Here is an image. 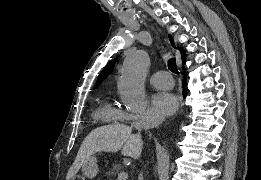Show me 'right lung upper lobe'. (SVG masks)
Masks as SVG:
<instances>
[{
  "label": "right lung upper lobe",
  "instance_id": "1",
  "mask_svg": "<svg viewBox=\"0 0 261 180\" xmlns=\"http://www.w3.org/2000/svg\"><path fill=\"white\" fill-rule=\"evenodd\" d=\"M169 39H170V42H171L172 46L175 48V45H174V42H173V39H172L171 35H169ZM180 51H181V56H182V58H183V57H184V54H183L182 49H180ZM115 61H116V60H112V61H110V62L106 65V67L104 68V70H103V71L101 72V74L99 75L98 80H97V83H96V85H95L94 88H97V87L101 84V82H102L104 79H106L107 76L111 73V71H112L113 68H114ZM184 63H185V62H184Z\"/></svg>",
  "mask_w": 261,
  "mask_h": 180
}]
</instances>
